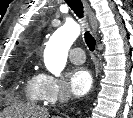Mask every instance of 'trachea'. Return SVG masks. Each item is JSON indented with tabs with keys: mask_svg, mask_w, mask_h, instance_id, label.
Instances as JSON below:
<instances>
[{
	"mask_svg": "<svg viewBox=\"0 0 133 118\" xmlns=\"http://www.w3.org/2000/svg\"><path fill=\"white\" fill-rule=\"evenodd\" d=\"M66 3L79 18L82 19L84 17L83 4L81 0H66ZM84 38L90 51H94L96 46V41L87 29H85Z\"/></svg>",
	"mask_w": 133,
	"mask_h": 118,
	"instance_id": "obj_1",
	"label": "trachea"
}]
</instances>
